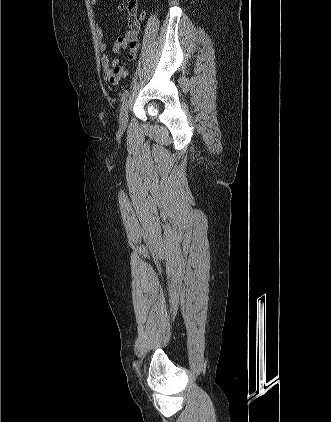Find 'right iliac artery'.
I'll list each match as a JSON object with an SVG mask.
<instances>
[{
  "mask_svg": "<svg viewBox=\"0 0 331 422\" xmlns=\"http://www.w3.org/2000/svg\"><path fill=\"white\" fill-rule=\"evenodd\" d=\"M128 96V90H125L121 97V102H124Z\"/></svg>",
  "mask_w": 331,
  "mask_h": 422,
  "instance_id": "obj_1",
  "label": "right iliac artery"
}]
</instances>
